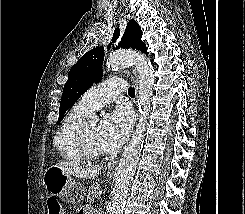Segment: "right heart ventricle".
I'll list each match as a JSON object with an SVG mask.
<instances>
[{"mask_svg": "<svg viewBox=\"0 0 245 214\" xmlns=\"http://www.w3.org/2000/svg\"><path fill=\"white\" fill-rule=\"evenodd\" d=\"M91 113L80 102L75 104L65 116L53 140V145L59 156L71 163H81L84 158L76 146V134L80 125Z\"/></svg>", "mask_w": 245, "mask_h": 214, "instance_id": "e07e8e85", "label": "right heart ventricle"}]
</instances>
